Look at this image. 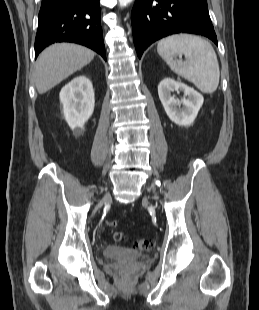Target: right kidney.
<instances>
[{
	"instance_id": "right-kidney-1",
	"label": "right kidney",
	"mask_w": 259,
	"mask_h": 310,
	"mask_svg": "<svg viewBox=\"0 0 259 310\" xmlns=\"http://www.w3.org/2000/svg\"><path fill=\"white\" fill-rule=\"evenodd\" d=\"M59 97L66 122L76 135H80L94 111L92 82L83 75L75 77L61 89Z\"/></svg>"
}]
</instances>
